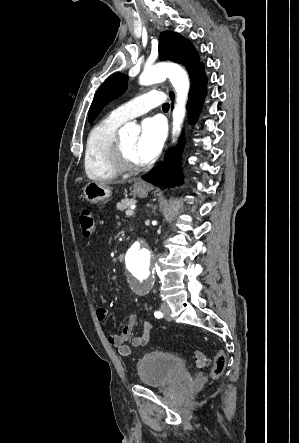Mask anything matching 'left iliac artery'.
I'll list each match as a JSON object with an SVG mask.
<instances>
[{
  "label": "left iliac artery",
  "mask_w": 299,
  "mask_h": 443,
  "mask_svg": "<svg viewBox=\"0 0 299 443\" xmlns=\"http://www.w3.org/2000/svg\"><path fill=\"white\" fill-rule=\"evenodd\" d=\"M154 316L156 318H162L163 317V313L161 311H155Z\"/></svg>",
  "instance_id": "left-iliac-artery-1"
}]
</instances>
